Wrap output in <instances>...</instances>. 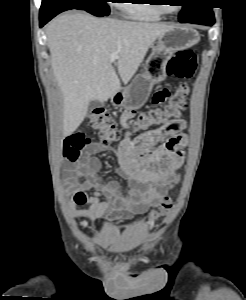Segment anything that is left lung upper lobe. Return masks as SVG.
<instances>
[{
	"label": "left lung upper lobe",
	"instance_id": "left-lung-upper-lobe-1",
	"mask_svg": "<svg viewBox=\"0 0 246 300\" xmlns=\"http://www.w3.org/2000/svg\"><path fill=\"white\" fill-rule=\"evenodd\" d=\"M189 5L183 6L179 13V21L185 22L188 19L196 18L200 15L212 11V8L205 4V0H186Z\"/></svg>",
	"mask_w": 246,
	"mask_h": 300
}]
</instances>
